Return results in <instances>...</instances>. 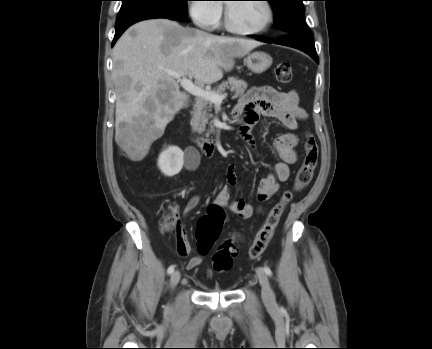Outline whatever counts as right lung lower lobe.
Segmentation results:
<instances>
[{
  "instance_id": "98d812e1",
  "label": "right lung lower lobe",
  "mask_w": 432,
  "mask_h": 349,
  "mask_svg": "<svg viewBox=\"0 0 432 349\" xmlns=\"http://www.w3.org/2000/svg\"><path fill=\"white\" fill-rule=\"evenodd\" d=\"M155 18H166L170 20H177L176 18L160 13L155 11H146V12H140L136 13L121 19H118L116 26H115V36L112 42V46L115 44L117 39L122 35V33L132 24L147 20V19H155Z\"/></svg>"
}]
</instances>
